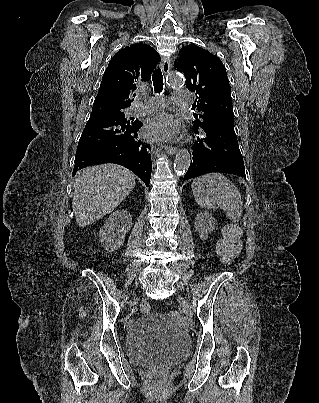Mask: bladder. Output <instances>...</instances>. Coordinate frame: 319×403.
Returning <instances> with one entry per match:
<instances>
[{
	"label": "bladder",
	"instance_id": "obj_1",
	"mask_svg": "<svg viewBox=\"0 0 319 403\" xmlns=\"http://www.w3.org/2000/svg\"><path fill=\"white\" fill-rule=\"evenodd\" d=\"M127 357L138 365L159 367L184 359L187 334L169 316L150 312L135 320L126 333Z\"/></svg>",
	"mask_w": 319,
	"mask_h": 403
}]
</instances>
